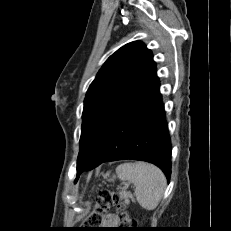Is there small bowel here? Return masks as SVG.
Returning <instances> with one entry per match:
<instances>
[{"label": "small bowel", "mask_w": 231, "mask_h": 231, "mask_svg": "<svg viewBox=\"0 0 231 231\" xmlns=\"http://www.w3.org/2000/svg\"><path fill=\"white\" fill-rule=\"evenodd\" d=\"M120 218L116 214H109L106 216L104 227L105 229H111L119 225Z\"/></svg>", "instance_id": "1"}]
</instances>
